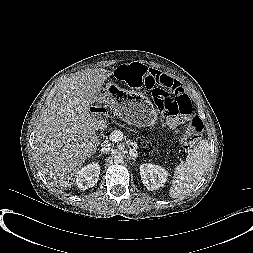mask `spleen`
Masks as SVG:
<instances>
[{
  "label": "spleen",
  "mask_w": 253,
  "mask_h": 253,
  "mask_svg": "<svg viewBox=\"0 0 253 253\" xmlns=\"http://www.w3.org/2000/svg\"><path fill=\"white\" fill-rule=\"evenodd\" d=\"M210 146L208 141L201 140L190 149L185 162L178 165L169 190L171 198H183L199 183L209 164Z\"/></svg>",
  "instance_id": "spleen-1"
}]
</instances>
